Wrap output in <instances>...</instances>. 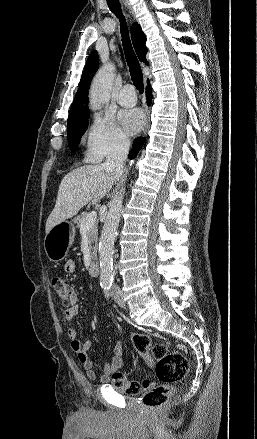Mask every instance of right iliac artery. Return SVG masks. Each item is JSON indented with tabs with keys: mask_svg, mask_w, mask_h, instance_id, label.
Segmentation results:
<instances>
[{
	"mask_svg": "<svg viewBox=\"0 0 257 439\" xmlns=\"http://www.w3.org/2000/svg\"><path fill=\"white\" fill-rule=\"evenodd\" d=\"M102 288L104 289L106 296L109 297L110 285H104Z\"/></svg>",
	"mask_w": 257,
	"mask_h": 439,
	"instance_id": "82829eb1",
	"label": "right iliac artery"
}]
</instances>
